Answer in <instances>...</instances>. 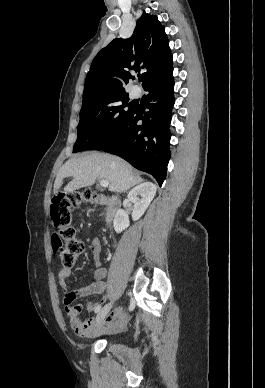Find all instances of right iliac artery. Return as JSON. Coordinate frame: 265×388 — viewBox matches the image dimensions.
I'll list each match as a JSON object with an SVG mask.
<instances>
[{
  "instance_id": "82829eb1",
  "label": "right iliac artery",
  "mask_w": 265,
  "mask_h": 388,
  "mask_svg": "<svg viewBox=\"0 0 265 388\" xmlns=\"http://www.w3.org/2000/svg\"><path fill=\"white\" fill-rule=\"evenodd\" d=\"M100 310H101V306H98V307L95 309V313H98Z\"/></svg>"
}]
</instances>
